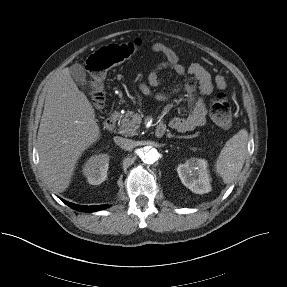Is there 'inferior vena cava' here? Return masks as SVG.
I'll list each match as a JSON object with an SVG mask.
<instances>
[{"instance_id": "602c4592", "label": "inferior vena cava", "mask_w": 287, "mask_h": 287, "mask_svg": "<svg viewBox=\"0 0 287 287\" xmlns=\"http://www.w3.org/2000/svg\"><path fill=\"white\" fill-rule=\"evenodd\" d=\"M114 141L122 149L127 150V151L132 150L135 145L133 140L126 139V138L119 137V136L114 137Z\"/></svg>"}]
</instances>
